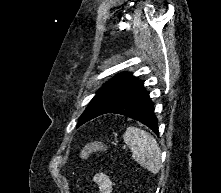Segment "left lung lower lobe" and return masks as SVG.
<instances>
[{
  "instance_id": "1",
  "label": "left lung lower lobe",
  "mask_w": 221,
  "mask_h": 193,
  "mask_svg": "<svg viewBox=\"0 0 221 193\" xmlns=\"http://www.w3.org/2000/svg\"><path fill=\"white\" fill-rule=\"evenodd\" d=\"M107 113L120 114L135 119L148 126L157 135L159 134L153 103L149 92L144 88V81L135 80L126 87L102 114Z\"/></svg>"
}]
</instances>
